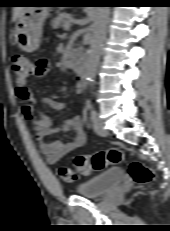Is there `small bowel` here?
Instances as JSON below:
<instances>
[{"mask_svg": "<svg viewBox=\"0 0 170 231\" xmlns=\"http://www.w3.org/2000/svg\"><path fill=\"white\" fill-rule=\"evenodd\" d=\"M48 69L49 60L47 58L42 57L35 62V76H43L47 73ZM75 90L77 93H81L83 90V84L80 79H78L76 83ZM16 95L24 103L22 113L24 117L32 123L36 133V140L39 144V149L49 164L55 163L63 156L85 144L86 134L80 116L77 115L72 118L63 119L59 127H54L53 119L42 109L37 107L39 100L27 85L17 86ZM40 101L45 106L59 112L61 115H63L66 109L64 103L49 97H42ZM71 130L74 131L75 135L74 138L67 143H63L59 140H46L47 137L53 134L66 133Z\"/></svg>", "mask_w": 170, "mask_h": 231, "instance_id": "1", "label": "small bowel"}]
</instances>
